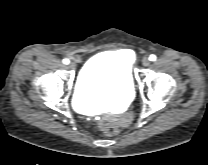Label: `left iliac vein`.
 Masks as SVG:
<instances>
[{
	"label": "left iliac vein",
	"mask_w": 208,
	"mask_h": 165,
	"mask_svg": "<svg viewBox=\"0 0 208 165\" xmlns=\"http://www.w3.org/2000/svg\"><path fill=\"white\" fill-rule=\"evenodd\" d=\"M142 64L143 66L148 67L150 65V60L148 58H144L142 60Z\"/></svg>",
	"instance_id": "obj_1"
}]
</instances>
